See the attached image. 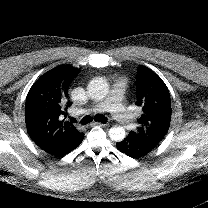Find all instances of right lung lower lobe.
<instances>
[{
  "instance_id": "98d812e1",
  "label": "right lung lower lobe",
  "mask_w": 208,
  "mask_h": 208,
  "mask_svg": "<svg viewBox=\"0 0 208 208\" xmlns=\"http://www.w3.org/2000/svg\"><path fill=\"white\" fill-rule=\"evenodd\" d=\"M83 139H84V134L81 133L69 141L63 142L62 144L56 145L46 150V152L53 154L55 156H64L67 153L74 150L76 147H78L83 141Z\"/></svg>"
}]
</instances>
